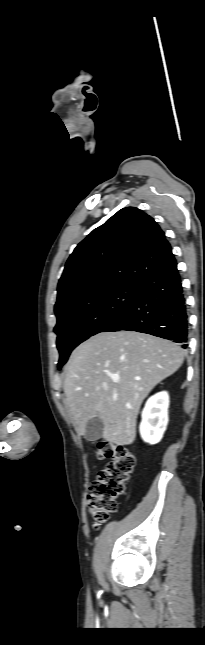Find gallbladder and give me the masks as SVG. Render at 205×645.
I'll list each match as a JSON object with an SVG mask.
<instances>
[{
    "label": "gallbladder",
    "instance_id": "bac80fb5",
    "mask_svg": "<svg viewBox=\"0 0 205 645\" xmlns=\"http://www.w3.org/2000/svg\"><path fill=\"white\" fill-rule=\"evenodd\" d=\"M103 429L102 420L95 417L86 424L84 438L88 441H96L102 437Z\"/></svg>",
    "mask_w": 205,
    "mask_h": 645
}]
</instances>
